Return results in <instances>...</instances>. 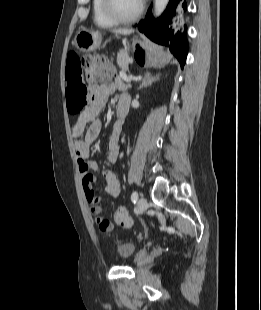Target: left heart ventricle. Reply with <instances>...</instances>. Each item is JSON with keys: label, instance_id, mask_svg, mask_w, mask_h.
Instances as JSON below:
<instances>
[{"label": "left heart ventricle", "instance_id": "b2bd125f", "mask_svg": "<svg viewBox=\"0 0 261 310\" xmlns=\"http://www.w3.org/2000/svg\"><path fill=\"white\" fill-rule=\"evenodd\" d=\"M140 4L139 0H112L114 10L123 17H129L136 13Z\"/></svg>", "mask_w": 261, "mask_h": 310}]
</instances>
